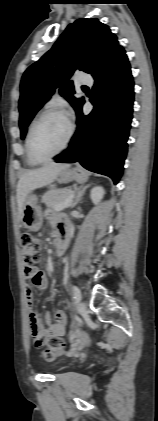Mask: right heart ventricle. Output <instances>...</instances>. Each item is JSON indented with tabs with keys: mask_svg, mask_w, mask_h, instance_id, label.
I'll list each match as a JSON object with an SVG mask.
<instances>
[{
	"mask_svg": "<svg viewBox=\"0 0 158 421\" xmlns=\"http://www.w3.org/2000/svg\"><path fill=\"white\" fill-rule=\"evenodd\" d=\"M36 120V118L32 121V123L30 124V126H29V129H28V133H27V137H26V143H25V151H26V162H27V164L28 165H30V166H36L38 163H36V162H34L32 159H31V157H30V155H29V153H28V149H27V138H28V134H29V130H30V128H31V126H32V124H33V122Z\"/></svg>",
	"mask_w": 158,
	"mask_h": 421,
	"instance_id": "obj_1",
	"label": "right heart ventricle"
}]
</instances>
